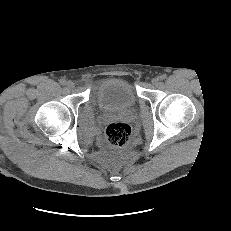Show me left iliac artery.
I'll return each instance as SVG.
<instances>
[{
	"instance_id": "44dca946",
	"label": "left iliac artery",
	"mask_w": 231,
	"mask_h": 231,
	"mask_svg": "<svg viewBox=\"0 0 231 231\" xmlns=\"http://www.w3.org/2000/svg\"><path fill=\"white\" fill-rule=\"evenodd\" d=\"M159 79H160V80L166 79V75H165V74L161 75V76L159 77Z\"/></svg>"
}]
</instances>
